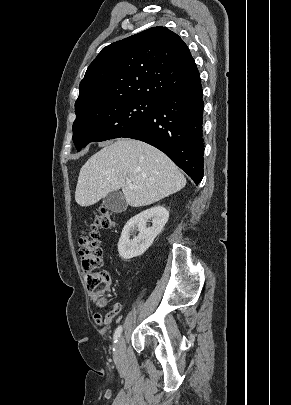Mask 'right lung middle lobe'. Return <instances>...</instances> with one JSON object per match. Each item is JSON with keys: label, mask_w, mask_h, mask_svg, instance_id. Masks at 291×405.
Masks as SVG:
<instances>
[{"label": "right lung middle lobe", "mask_w": 291, "mask_h": 405, "mask_svg": "<svg viewBox=\"0 0 291 405\" xmlns=\"http://www.w3.org/2000/svg\"><path fill=\"white\" fill-rule=\"evenodd\" d=\"M156 105L155 99L126 97L75 111L73 141L77 151L90 142L120 138L131 132L144 123Z\"/></svg>", "instance_id": "right-lung-middle-lobe-1"}]
</instances>
